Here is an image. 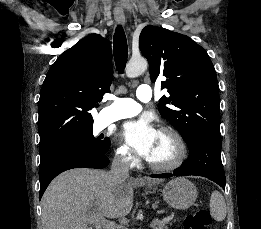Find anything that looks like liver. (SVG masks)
<instances>
[{"label": "liver", "mask_w": 261, "mask_h": 229, "mask_svg": "<svg viewBox=\"0 0 261 229\" xmlns=\"http://www.w3.org/2000/svg\"><path fill=\"white\" fill-rule=\"evenodd\" d=\"M160 185L162 179H121L107 171L71 169L56 177L41 201L42 229H88L101 219H125L133 207L134 189Z\"/></svg>", "instance_id": "6515ba94"}]
</instances>
